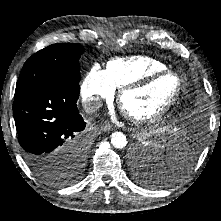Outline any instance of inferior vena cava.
<instances>
[{"instance_id": "602c4592", "label": "inferior vena cava", "mask_w": 221, "mask_h": 221, "mask_svg": "<svg viewBox=\"0 0 221 221\" xmlns=\"http://www.w3.org/2000/svg\"><path fill=\"white\" fill-rule=\"evenodd\" d=\"M82 106L86 113L92 114L102 106V101L98 98L86 99L83 101Z\"/></svg>"}]
</instances>
